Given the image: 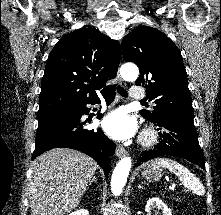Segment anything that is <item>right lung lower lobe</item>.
Here are the masks:
<instances>
[{
    "instance_id": "right-lung-lower-lobe-1",
    "label": "right lung lower lobe",
    "mask_w": 221,
    "mask_h": 215,
    "mask_svg": "<svg viewBox=\"0 0 221 215\" xmlns=\"http://www.w3.org/2000/svg\"><path fill=\"white\" fill-rule=\"evenodd\" d=\"M102 95L106 103L110 104L115 98V88ZM97 102H99V98L89 101L68 113L39 119L32 160L52 148H71L95 159L103 168L105 176H107L111 169L109 156L114 154L115 144L104 135L101 129H85L83 128L85 122H81V117L90 111L86 105ZM102 116L101 113L97 114L98 119H101Z\"/></svg>"
}]
</instances>
